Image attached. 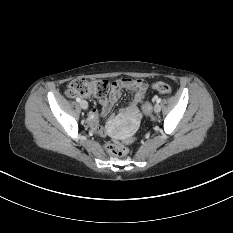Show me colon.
Here are the masks:
<instances>
[{
	"label": "colon",
	"mask_w": 233,
	"mask_h": 233,
	"mask_svg": "<svg viewBox=\"0 0 233 233\" xmlns=\"http://www.w3.org/2000/svg\"><path fill=\"white\" fill-rule=\"evenodd\" d=\"M110 83L107 80H89L85 78H77L72 80L68 84L67 93L70 96L80 95L83 97H104L109 91ZM153 89L160 94H170L172 88L170 85L164 82H156L152 85ZM144 111L149 114L151 111V104L146 102L144 105ZM106 152L114 156H122L126 154L127 148L124 143L114 141L107 143L104 146Z\"/></svg>",
	"instance_id": "obj_1"
}]
</instances>
